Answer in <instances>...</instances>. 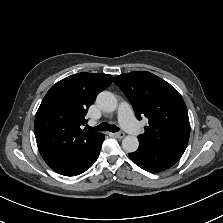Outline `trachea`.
Listing matches in <instances>:
<instances>
[{"instance_id": "1", "label": "trachea", "mask_w": 223, "mask_h": 223, "mask_svg": "<svg viewBox=\"0 0 223 223\" xmlns=\"http://www.w3.org/2000/svg\"><path fill=\"white\" fill-rule=\"evenodd\" d=\"M94 130L98 131H110V132H119V128L115 125H107V123H101L96 127H91Z\"/></svg>"}]
</instances>
